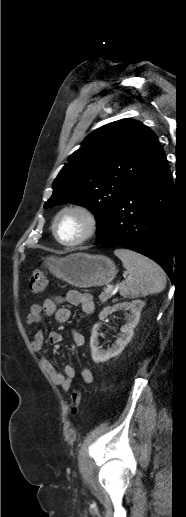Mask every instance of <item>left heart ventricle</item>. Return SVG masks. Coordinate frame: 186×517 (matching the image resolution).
Masks as SVG:
<instances>
[{
	"label": "left heart ventricle",
	"instance_id": "obj_1",
	"mask_svg": "<svg viewBox=\"0 0 186 517\" xmlns=\"http://www.w3.org/2000/svg\"><path fill=\"white\" fill-rule=\"evenodd\" d=\"M85 230L83 218L76 213H66L57 222L56 231L59 238L63 241H74Z\"/></svg>",
	"mask_w": 186,
	"mask_h": 517
}]
</instances>
